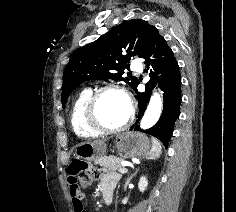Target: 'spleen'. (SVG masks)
<instances>
[{"instance_id": "3e777b00", "label": "spleen", "mask_w": 236, "mask_h": 212, "mask_svg": "<svg viewBox=\"0 0 236 212\" xmlns=\"http://www.w3.org/2000/svg\"><path fill=\"white\" fill-rule=\"evenodd\" d=\"M161 151H162L161 143L157 139L152 138V147L150 151L147 153L146 159L155 160L159 158Z\"/></svg>"}]
</instances>
